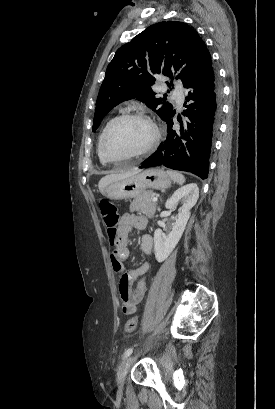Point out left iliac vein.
Returning a JSON list of instances; mask_svg holds the SVG:
<instances>
[{"label":"left iliac vein","instance_id":"1","mask_svg":"<svg viewBox=\"0 0 275 409\" xmlns=\"http://www.w3.org/2000/svg\"><path fill=\"white\" fill-rule=\"evenodd\" d=\"M134 360H135V356L133 355L129 356L118 372L117 382H118V386L120 389H122L123 387L128 370L130 369Z\"/></svg>","mask_w":275,"mask_h":409}]
</instances>
